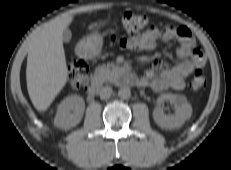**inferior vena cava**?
Returning a JSON list of instances; mask_svg holds the SVG:
<instances>
[{"mask_svg": "<svg viewBox=\"0 0 231 170\" xmlns=\"http://www.w3.org/2000/svg\"><path fill=\"white\" fill-rule=\"evenodd\" d=\"M112 94V88L109 86L103 87L99 91V95L101 99H108Z\"/></svg>", "mask_w": 231, "mask_h": 170, "instance_id": "602c4592", "label": "inferior vena cava"}]
</instances>
